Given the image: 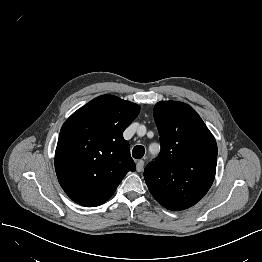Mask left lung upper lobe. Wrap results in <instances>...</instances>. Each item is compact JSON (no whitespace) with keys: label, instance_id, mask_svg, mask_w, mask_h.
<instances>
[{"label":"left lung upper lobe","instance_id":"1","mask_svg":"<svg viewBox=\"0 0 262 262\" xmlns=\"http://www.w3.org/2000/svg\"><path fill=\"white\" fill-rule=\"evenodd\" d=\"M161 151L146 166L144 178L153 197L169 210H184L211 187L217 144L207 126L188 104L160 101L154 107Z\"/></svg>","mask_w":262,"mask_h":262}]
</instances>
